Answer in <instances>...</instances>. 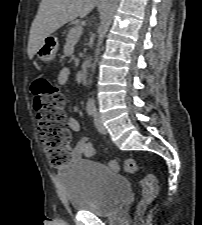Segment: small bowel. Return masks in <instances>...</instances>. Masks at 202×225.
Instances as JSON below:
<instances>
[{"label":"small bowel","mask_w":202,"mask_h":225,"mask_svg":"<svg viewBox=\"0 0 202 225\" xmlns=\"http://www.w3.org/2000/svg\"><path fill=\"white\" fill-rule=\"evenodd\" d=\"M71 79V71L69 69H63L57 76V81L60 85L67 84ZM68 125L71 132H79L80 122L76 117L68 118ZM71 160L77 161L80 159H93L95 157V150L88 138L80 139L71 151Z\"/></svg>","instance_id":"small-bowel-1"}]
</instances>
